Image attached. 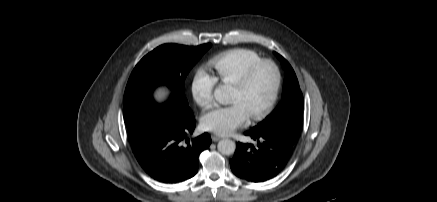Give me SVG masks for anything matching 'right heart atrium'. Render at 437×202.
Listing matches in <instances>:
<instances>
[{
  "label": "right heart atrium",
  "mask_w": 437,
  "mask_h": 202,
  "mask_svg": "<svg viewBox=\"0 0 437 202\" xmlns=\"http://www.w3.org/2000/svg\"><path fill=\"white\" fill-rule=\"evenodd\" d=\"M217 84L215 76L207 72L203 67L198 68L191 81V94L193 100L202 108H209L213 105V92Z\"/></svg>",
  "instance_id": "right-heart-atrium-1"
}]
</instances>
